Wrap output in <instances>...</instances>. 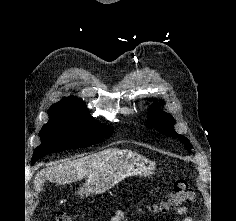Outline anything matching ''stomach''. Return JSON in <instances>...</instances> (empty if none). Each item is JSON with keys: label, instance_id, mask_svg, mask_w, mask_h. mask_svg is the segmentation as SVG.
Instances as JSON below:
<instances>
[{"label": "stomach", "instance_id": "obj_1", "mask_svg": "<svg viewBox=\"0 0 236 221\" xmlns=\"http://www.w3.org/2000/svg\"><path fill=\"white\" fill-rule=\"evenodd\" d=\"M154 169L155 164L144 156L129 151H119L86 177L78 194L82 197L102 194L129 176L146 177L152 174Z\"/></svg>", "mask_w": 236, "mask_h": 221}]
</instances>
